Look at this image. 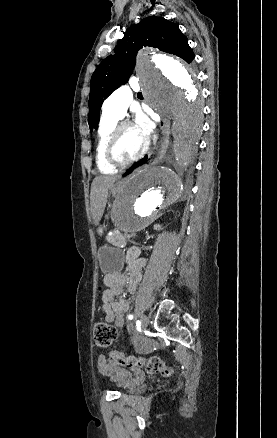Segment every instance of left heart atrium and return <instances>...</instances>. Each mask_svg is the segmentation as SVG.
Segmentation results:
<instances>
[{
    "label": "left heart atrium",
    "instance_id": "left-heart-atrium-1",
    "mask_svg": "<svg viewBox=\"0 0 277 438\" xmlns=\"http://www.w3.org/2000/svg\"><path fill=\"white\" fill-rule=\"evenodd\" d=\"M134 128L142 141L145 143L148 140L149 135L152 131V125L150 121L145 116L138 115Z\"/></svg>",
    "mask_w": 277,
    "mask_h": 438
}]
</instances>
